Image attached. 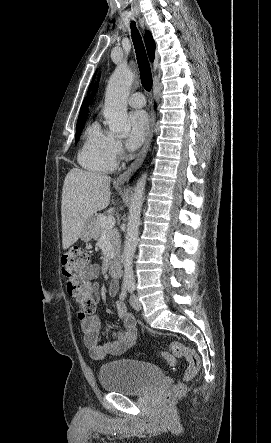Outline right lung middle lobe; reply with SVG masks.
Wrapping results in <instances>:
<instances>
[{
  "mask_svg": "<svg viewBox=\"0 0 271 443\" xmlns=\"http://www.w3.org/2000/svg\"><path fill=\"white\" fill-rule=\"evenodd\" d=\"M85 123V119H81L77 121V127H76V138H75V142L77 143L79 137H80V133L82 131L83 125Z\"/></svg>",
  "mask_w": 271,
  "mask_h": 443,
  "instance_id": "dd1d6c3e",
  "label": "right lung middle lobe"
}]
</instances>
